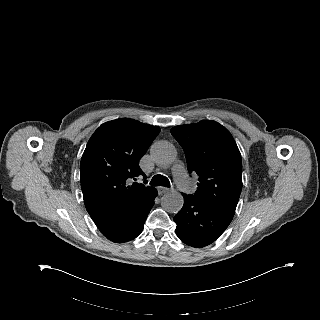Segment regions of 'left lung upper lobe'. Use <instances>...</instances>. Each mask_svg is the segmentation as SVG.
Returning <instances> with one entry per match:
<instances>
[{
  "label": "left lung upper lobe",
  "instance_id": "5c2ea615",
  "mask_svg": "<svg viewBox=\"0 0 320 320\" xmlns=\"http://www.w3.org/2000/svg\"><path fill=\"white\" fill-rule=\"evenodd\" d=\"M171 134L185 152L188 172L199 176L193 196L234 216L242 189V162L229 131L203 120L176 126Z\"/></svg>",
  "mask_w": 320,
  "mask_h": 320
}]
</instances>
